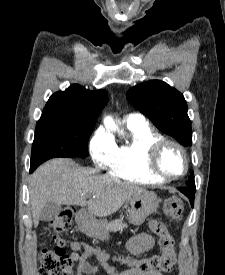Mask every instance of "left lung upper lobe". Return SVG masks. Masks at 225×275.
Returning a JSON list of instances; mask_svg holds the SVG:
<instances>
[{"label": "left lung upper lobe", "mask_w": 225, "mask_h": 275, "mask_svg": "<svg viewBox=\"0 0 225 275\" xmlns=\"http://www.w3.org/2000/svg\"><path fill=\"white\" fill-rule=\"evenodd\" d=\"M128 101L154 125L183 146L192 145L191 121L187 115V104L183 95L160 80H151L132 87L127 92ZM187 187H195L191 174Z\"/></svg>", "instance_id": "left-lung-upper-lobe-1"}]
</instances>
